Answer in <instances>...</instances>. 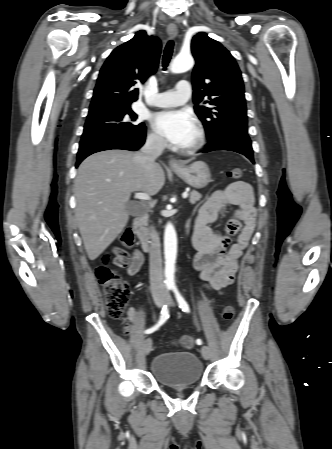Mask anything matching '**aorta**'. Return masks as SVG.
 Segmentation results:
<instances>
[{"mask_svg":"<svg viewBox=\"0 0 332 449\" xmlns=\"http://www.w3.org/2000/svg\"><path fill=\"white\" fill-rule=\"evenodd\" d=\"M194 65L191 55L179 54L172 61L170 70L172 73H183L190 70ZM177 257V234L174 226L168 223L164 231V258H165V282L174 285L175 263Z\"/></svg>","mask_w":332,"mask_h":449,"instance_id":"1","label":"aorta"}]
</instances>
